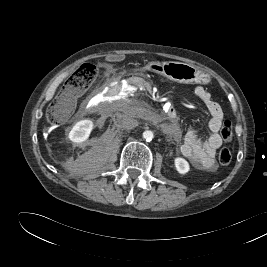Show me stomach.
Listing matches in <instances>:
<instances>
[{
    "instance_id": "obj_1",
    "label": "stomach",
    "mask_w": 267,
    "mask_h": 267,
    "mask_svg": "<svg viewBox=\"0 0 267 267\" xmlns=\"http://www.w3.org/2000/svg\"><path fill=\"white\" fill-rule=\"evenodd\" d=\"M145 69L161 74L178 83H200L207 84L210 78L196 67L182 62H150Z\"/></svg>"
}]
</instances>
